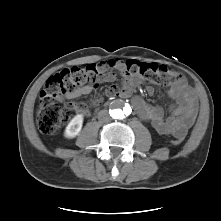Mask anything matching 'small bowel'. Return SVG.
Returning <instances> with one entry per match:
<instances>
[{
  "instance_id": "obj_1",
  "label": "small bowel",
  "mask_w": 221,
  "mask_h": 221,
  "mask_svg": "<svg viewBox=\"0 0 221 221\" xmlns=\"http://www.w3.org/2000/svg\"><path fill=\"white\" fill-rule=\"evenodd\" d=\"M97 68L99 76L96 83L77 87L72 92L68 93L65 98L75 99L91 93L101 83L113 82L115 80V75L110 72L111 69H116L122 74L121 87L117 88L118 93L125 98L132 96L138 80L127 71L125 61L110 59L107 62L101 63ZM147 92L150 95L153 94V87H147ZM167 95L173 101L170 115L167 118L164 117V111L160 106L150 105L139 96L133 97L132 104L138 116L142 120L150 123L156 132L183 138L196 117V96L184 80L174 82L168 89ZM66 106L78 114L84 116L89 114V109L85 104L68 102Z\"/></svg>"
}]
</instances>
